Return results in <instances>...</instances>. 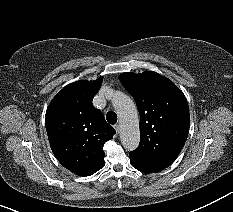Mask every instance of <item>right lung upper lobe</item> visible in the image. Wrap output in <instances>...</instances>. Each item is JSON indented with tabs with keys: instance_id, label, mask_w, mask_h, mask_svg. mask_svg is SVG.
<instances>
[{
	"instance_id": "obj_1",
	"label": "right lung upper lobe",
	"mask_w": 233,
	"mask_h": 212,
	"mask_svg": "<svg viewBox=\"0 0 233 212\" xmlns=\"http://www.w3.org/2000/svg\"><path fill=\"white\" fill-rule=\"evenodd\" d=\"M102 81L99 77L65 86L46 111L45 125L54 155L79 176H90L105 165L103 146L115 134L92 104Z\"/></svg>"
}]
</instances>
